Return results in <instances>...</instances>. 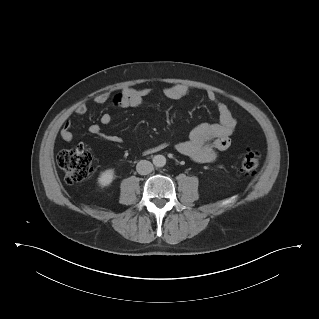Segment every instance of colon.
Here are the masks:
<instances>
[{"instance_id": "5ec220e1", "label": "colon", "mask_w": 319, "mask_h": 319, "mask_svg": "<svg viewBox=\"0 0 319 319\" xmlns=\"http://www.w3.org/2000/svg\"><path fill=\"white\" fill-rule=\"evenodd\" d=\"M120 96L115 98V105L119 104ZM93 154L90 148L79 144L74 148L61 151L57 156V163L64 171L67 182L80 183L88 180L93 173ZM260 163L257 151L247 150L242 154L240 174L246 175L254 172Z\"/></svg>"}]
</instances>
